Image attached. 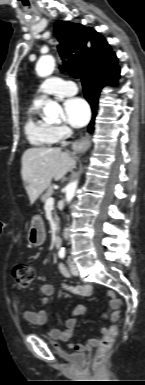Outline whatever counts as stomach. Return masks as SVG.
<instances>
[{
  "label": "stomach",
  "mask_w": 145,
  "mask_h": 385,
  "mask_svg": "<svg viewBox=\"0 0 145 385\" xmlns=\"http://www.w3.org/2000/svg\"><path fill=\"white\" fill-rule=\"evenodd\" d=\"M46 234L43 221L36 216L32 219L27 233V241L32 246H39L45 241Z\"/></svg>",
  "instance_id": "stomach-1"
}]
</instances>
